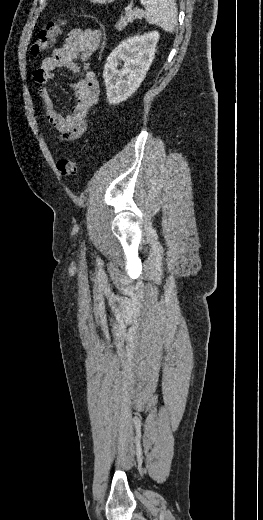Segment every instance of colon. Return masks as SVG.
I'll return each mask as SVG.
<instances>
[{
  "instance_id": "1",
  "label": "colon",
  "mask_w": 263,
  "mask_h": 520,
  "mask_svg": "<svg viewBox=\"0 0 263 520\" xmlns=\"http://www.w3.org/2000/svg\"><path fill=\"white\" fill-rule=\"evenodd\" d=\"M65 24V18L59 16L41 29L31 47L32 55L37 56L50 49ZM78 167V162L70 159H61L57 162V169L62 177L75 176Z\"/></svg>"
}]
</instances>
